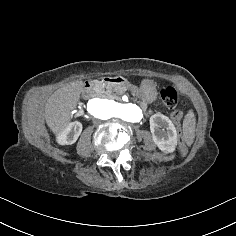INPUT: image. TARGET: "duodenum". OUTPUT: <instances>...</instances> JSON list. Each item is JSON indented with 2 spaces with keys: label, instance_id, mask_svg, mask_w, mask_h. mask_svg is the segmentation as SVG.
I'll return each instance as SVG.
<instances>
[{
  "label": "duodenum",
  "instance_id": "obj_1",
  "mask_svg": "<svg viewBox=\"0 0 236 236\" xmlns=\"http://www.w3.org/2000/svg\"><path fill=\"white\" fill-rule=\"evenodd\" d=\"M123 78L118 75H110V76H104L99 79H95L92 81H88L83 86V93L86 95L92 91V89L100 83H107V84H121L123 83Z\"/></svg>",
  "mask_w": 236,
  "mask_h": 236
}]
</instances>
